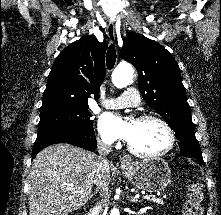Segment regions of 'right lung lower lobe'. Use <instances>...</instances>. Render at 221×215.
<instances>
[{"mask_svg":"<svg viewBox=\"0 0 221 215\" xmlns=\"http://www.w3.org/2000/svg\"><path fill=\"white\" fill-rule=\"evenodd\" d=\"M57 143H68L90 151L95 150L97 145L93 127L84 129H63L38 134L33 147L32 159L45 147Z\"/></svg>","mask_w":221,"mask_h":215,"instance_id":"right-lung-lower-lobe-1","label":"right lung lower lobe"}]
</instances>
